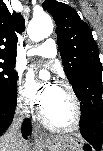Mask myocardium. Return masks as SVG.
Returning <instances> with one entry per match:
<instances>
[{
	"instance_id": "myocardium-1",
	"label": "myocardium",
	"mask_w": 103,
	"mask_h": 151,
	"mask_svg": "<svg viewBox=\"0 0 103 151\" xmlns=\"http://www.w3.org/2000/svg\"><path fill=\"white\" fill-rule=\"evenodd\" d=\"M57 86L63 88L68 93V95L72 101V105H73V109H74L73 122L67 126L56 125L47 118L43 109H41L40 113H39L40 120L45 127H47L50 130H53V131H57V132L74 131L77 128H79L81 121H82V107H81L79 97L76 94L74 88L66 81H59L57 83Z\"/></svg>"
}]
</instances>
